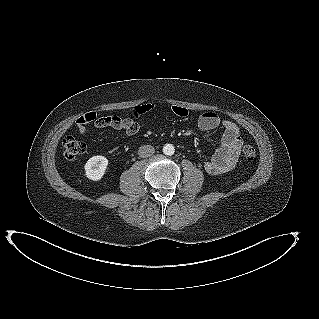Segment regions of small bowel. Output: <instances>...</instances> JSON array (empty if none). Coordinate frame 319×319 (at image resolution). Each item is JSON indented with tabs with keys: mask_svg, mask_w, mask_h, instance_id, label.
I'll use <instances>...</instances> for the list:
<instances>
[{
	"mask_svg": "<svg viewBox=\"0 0 319 319\" xmlns=\"http://www.w3.org/2000/svg\"><path fill=\"white\" fill-rule=\"evenodd\" d=\"M154 105L144 104L135 107L133 118H122L118 116L94 117L91 121L98 128H114L123 130L126 135L136 134L143 124L144 115L153 111ZM172 112L178 117H186L188 109L183 106H173ZM87 124H77L80 133H86ZM219 126L223 128L220 146L212 157L205 163V170L211 174H222L231 170L239 158L243 144L238 126L230 120H221L213 112H206L198 119V127L202 131H211Z\"/></svg>",
	"mask_w": 319,
	"mask_h": 319,
	"instance_id": "obj_1",
	"label": "small bowel"
}]
</instances>
